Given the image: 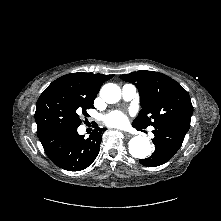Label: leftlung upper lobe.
<instances>
[{
    "instance_id": "5c2ea615",
    "label": "left lung upper lobe",
    "mask_w": 221,
    "mask_h": 221,
    "mask_svg": "<svg viewBox=\"0 0 221 221\" xmlns=\"http://www.w3.org/2000/svg\"><path fill=\"white\" fill-rule=\"evenodd\" d=\"M120 78L139 90L142 110L133 121L134 126L189 130L193 106L189 94L178 82L165 74L144 70L123 74Z\"/></svg>"
}]
</instances>
